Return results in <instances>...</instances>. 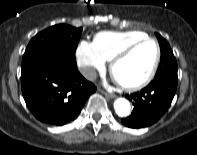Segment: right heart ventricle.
<instances>
[{"label":"right heart ventricle","instance_id":"e07e8e85","mask_svg":"<svg viewBox=\"0 0 197 155\" xmlns=\"http://www.w3.org/2000/svg\"><path fill=\"white\" fill-rule=\"evenodd\" d=\"M145 37L144 32L136 30L102 31L94 36L93 43L105 60H111L123 47Z\"/></svg>","mask_w":197,"mask_h":155}]
</instances>
